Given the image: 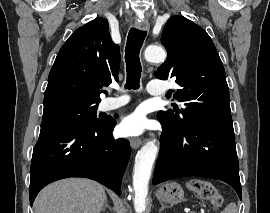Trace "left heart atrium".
I'll use <instances>...</instances> for the list:
<instances>
[{
    "mask_svg": "<svg viewBox=\"0 0 270 213\" xmlns=\"http://www.w3.org/2000/svg\"><path fill=\"white\" fill-rule=\"evenodd\" d=\"M145 117L136 111L125 117L120 124V132L123 136L133 137L141 135L145 130Z\"/></svg>",
    "mask_w": 270,
    "mask_h": 213,
    "instance_id": "1",
    "label": "left heart atrium"
}]
</instances>
